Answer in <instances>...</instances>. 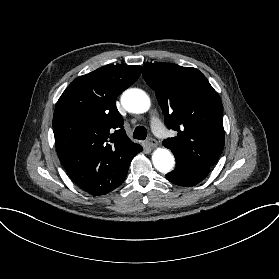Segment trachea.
Segmentation results:
<instances>
[{"label":"trachea","instance_id":"obj_1","mask_svg":"<svg viewBox=\"0 0 279 279\" xmlns=\"http://www.w3.org/2000/svg\"><path fill=\"white\" fill-rule=\"evenodd\" d=\"M146 137H147V130L144 127L138 126L135 128L133 133V138L138 140H145Z\"/></svg>","mask_w":279,"mask_h":279}]
</instances>
